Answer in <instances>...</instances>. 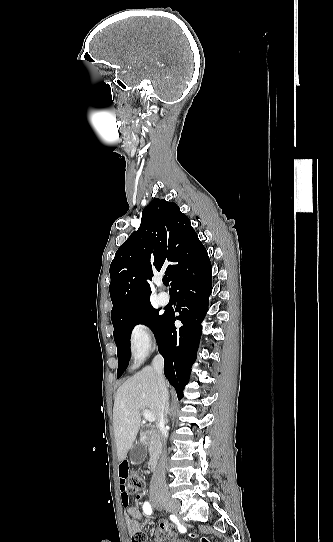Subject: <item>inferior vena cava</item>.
Returning a JSON list of instances; mask_svg holds the SVG:
<instances>
[{
    "instance_id": "inferior-vena-cava-1",
    "label": "inferior vena cava",
    "mask_w": 333,
    "mask_h": 542,
    "mask_svg": "<svg viewBox=\"0 0 333 542\" xmlns=\"http://www.w3.org/2000/svg\"><path fill=\"white\" fill-rule=\"evenodd\" d=\"M152 368L154 372H156L157 384L159 386V390L161 394V412H160L159 428L162 434L167 424L166 404H167L168 392H167L166 382H165V378L163 374L164 360L162 356H160V354L159 356H155L152 362ZM162 440H163V436H162ZM163 444H165V440H163ZM166 464H167V454L164 448L161 454V458L158 462V466L156 470H153V476L150 482L151 492H155V490H159V488H164V486H166V480H165Z\"/></svg>"
}]
</instances>
